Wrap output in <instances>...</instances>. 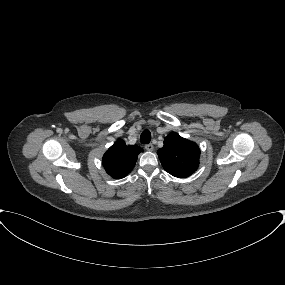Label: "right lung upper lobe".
<instances>
[{"label": "right lung upper lobe", "instance_id": "1", "mask_svg": "<svg viewBox=\"0 0 285 285\" xmlns=\"http://www.w3.org/2000/svg\"><path fill=\"white\" fill-rule=\"evenodd\" d=\"M140 152L143 149L139 146L126 145L122 139H118L104 154L103 166L112 178L121 179L134 168Z\"/></svg>", "mask_w": 285, "mask_h": 285}]
</instances>
